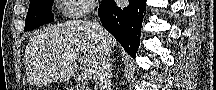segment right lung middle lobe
<instances>
[{
	"label": "right lung middle lobe",
	"mask_w": 216,
	"mask_h": 90,
	"mask_svg": "<svg viewBox=\"0 0 216 90\" xmlns=\"http://www.w3.org/2000/svg\"><path fill=\"white\" fill-rule=\"evenodd\" d=\"M52 4L53 0H31L24 31L33 30L46 23L53 22L54 18L51 13Z\"/></svg>",
	"instance_id": "1"
}]
</instances>
